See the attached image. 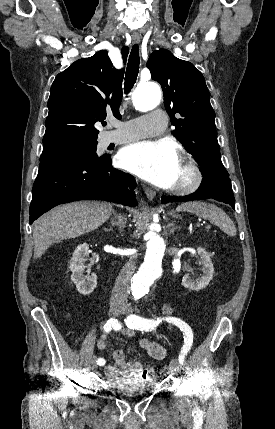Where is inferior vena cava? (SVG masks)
<instances>
[{"instance_id":"1","label":"inferior vena cava","mask_w":275,"mask_h":429,"mask_svg":"<svg viewBox=\"0 0 275 429\" xmlns=\"http://www.w3.org/2000/svg\"><path fill=\"white\" fill-rule=\"evenodd\" d=\"M134 270L135 263L133 261V258H130L129 261L125 264V266L122 268L119 276L115 281L111 296L112 303H121L123 305L127 303L129 292V279Z\"/></svg>"}]
</instances>
